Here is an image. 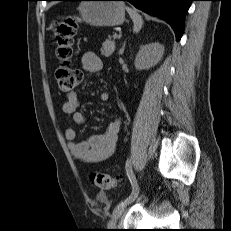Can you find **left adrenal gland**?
<instances>
[{
  "label": "left adrenal gland",
  "mask_w": 231,
  "mask_h": 231,
  "mask_svg": "<svg viewBox=\"0 0 231 231\" xmlns=\"http://www.w3.org/2000/svg\"><path fill=\"white\" fill-rule=\"evenodd\" d=\"M125 45H126V42H124V44H123L122 48L120 49V52H119V54H120V55H122V54H123L124 49H125Z\"/></svg>",
  "instance_id": "obj_1"
}]
</instances>
